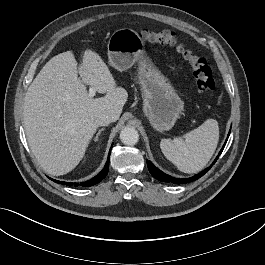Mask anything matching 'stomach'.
<instances>
[{"label": "stomach", "instance_id": "stomach-1", "mask_svg": "<svg viewBox=\"0 0 265 265\" xmlns=\"http://www.w3.org/2000/svg\"><path fill=\"white\" fill-rule=\"evenodd\" d=\"M107 48L109 64L119 71L138 62L137 77L144 96L143 112L156 131L170 130L183 109V102L168 78L146 55L140 35L130 28L116 30L110 36Z\"/></svg>", "mask_w": 265, "mask_h": 265}]
</instances>
